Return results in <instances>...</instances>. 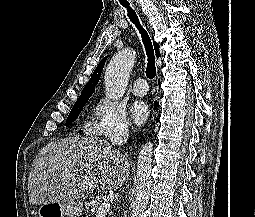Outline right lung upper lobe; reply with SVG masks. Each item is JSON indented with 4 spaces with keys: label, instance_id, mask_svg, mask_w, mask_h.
Returning a JSON list of instances; mask_svg holds the SVG:
<instances>
[{
    "label": "right lung upper lobe",
    "instance_id": "obj_1",
    "mask_svg": "<svg viewBox=\"0 0 255 217\" xmlns=\"http://www.w3.org/2000/svg\"><path fill=\"white\" fill-rule=\"evenodd\" d=\"M154 48H155L156 55H157V56H161L160 53H159V44H157V43L154 42ZM106 58H107V57H105V58L98 64V66L96 67V69L94 70V72H93V74H92V76H91V79H90L89 82L86 84V86L83 88L81 95L87 94V93H93V92H94L95 86H96L97 83L99 82L100 75H101V72H102V70H103V67H104ZM81 95H80V96H81Z\"/></svg>",
    "mask_w": 255,
    "mask_h": 217
}]
</instances>
